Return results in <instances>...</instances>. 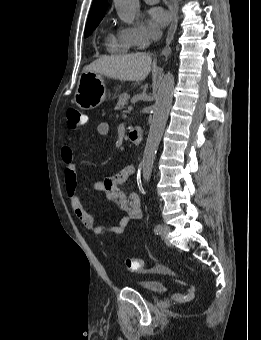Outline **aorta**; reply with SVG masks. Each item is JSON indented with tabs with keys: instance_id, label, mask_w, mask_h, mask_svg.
<instances>
[{
	"instance_id": "1",
	"label": "aorta",
	"mask_w": 261,
	"mask_h": 340,
	"mask_svg": "<svg viewBox=\"0 0 261 340\" xmlns=\"http://www.w3.org/2000/svg\"><path fill=\"white\" fill-rule=\"evenodd\" d=\"M119 18L126 23H133L139 10V0H114ZM174 89V76L168 72L159 84L155 104L153 106V118L144 149L142 168L143 179L148 182L151 178L157 149L159 147L169 111L172 105Z\"/></svg>"
}]
</instances>
